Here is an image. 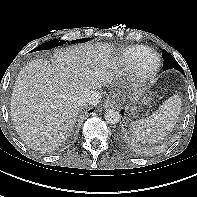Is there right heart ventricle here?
<instances>
[{
	"label": "right heart ventricle",
	"mask_w": 197,
	"mask_h": 197,
	"mask_svg": "<svg viewBox=\"0 0 197 197\" xmlns=\"http://www.w3.org/2000/svg\"><path fill=\"white\" fill-rule=\"evenodd\" d=\"M150 49L143 45H132L124 48L114 59V66L121 71H128L133 68L135 63Z\"/></svg>",
	"instance_id": "e07e8e85"
}]
</instances>
